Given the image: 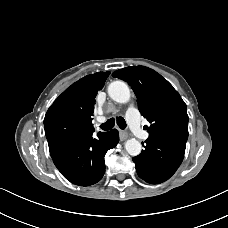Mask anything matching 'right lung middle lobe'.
<instances>
[{
	"instance_id": "1",
	"label": "right lung middle lobe",
	"mask_w": 228,
	"mask_h": 228,
	"mask_svg": "<svg viewBox=\"0 0 228 228\" xmlns=\"http://www.w3.org/2000/svg\"><path fill=\"white\" fill-rule=\"evenodd\" d=\"M45 133L49 146L58 144L68 137L80 132L78 122L71 117H60L44 122Z\"/></svg>"
}]
</instances>
